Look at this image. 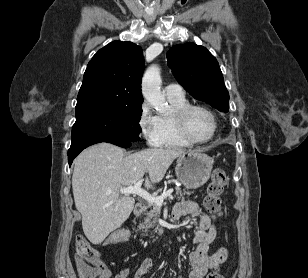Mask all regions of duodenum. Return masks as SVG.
Returning a JSON list of instances; mask_svg holds the SVG:
<instances>
[{"label": "duodenum", "mask_w": 308, "mask_h": 278, "mask_svg": "<svg viewBox=\"0 0 308 278\" xmlns=\"http://www.w3.org/2000/svg\"><path fill=\"white\" fill-rule=\"evenodd\" d=\"M144 206L142 204H138L135 208V214L139 215L142 213ZM173 216L175 217L174 213Z\"/></svg>", "instance_id": "1"}]
</instances>
